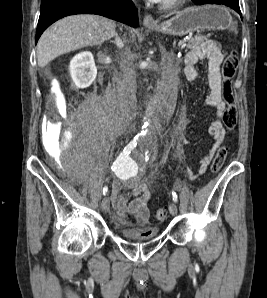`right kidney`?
I'll use <instances>...</instances> for the list:
<instances>
[{
  "instance_id": "1",
  "label": "right kidney",
  "mask_w": 267,
  "mask_h": 298,
  "mask_svg": "<svg viewBox=\"0 0 267 298\" xmlns=\"http://www.w3.org/2000/svg\"><path fill=\"white\" fill-rule=\"evenodd\" d=\"M69 70L75 86L80 89L89 87L97 75L93 55L88 51L75 55L70 61Z\"/></svg>"
}]
</instances>
